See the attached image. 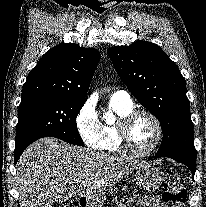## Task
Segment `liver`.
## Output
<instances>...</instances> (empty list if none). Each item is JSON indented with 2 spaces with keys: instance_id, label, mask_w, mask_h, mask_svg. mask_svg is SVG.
<instances>
[{
  "instance_id": "obj_1",
  "label": "liver",
  "mask_w": 206,
  "mask_h": 207,
  "mask_svg": "<svg viewBox=\"0 0 206 207\" xmlns=\"http://www.w3.org/2000/svg\"><path fill=\"white\" fill-rule=\"evenodd\" d=\"M142 162L71 146L45 137L32 143L17 162L20 207H52L71 197H84L89 207L104 201L107 188Z\"/></svg>"
}]
</instances>
